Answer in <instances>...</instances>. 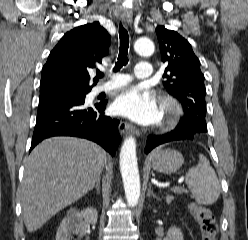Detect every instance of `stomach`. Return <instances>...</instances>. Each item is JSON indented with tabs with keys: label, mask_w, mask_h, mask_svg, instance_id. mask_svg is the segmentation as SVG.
<instances>
[{
	"label": "stomach",
	"mask_w": 248,
	"mask_h": 240,
	"mask_svg": "<svg viewBox=\"0 0 248 240\" xmlns=\"http://www.w3.org/2000/svg\"><path fill=\"white\" fill-rule=\"evenodd\" d=\"M183 162L182 154L173 149L158 150L149 156L151 167L165 174L176 172L182 166Z\"/></svg>",
	"instance_id": "obj_1"
}]
</instances>
